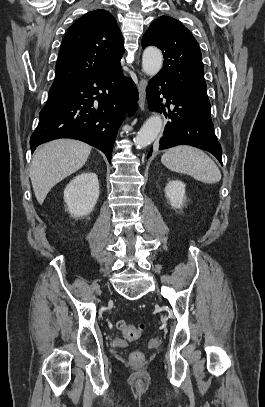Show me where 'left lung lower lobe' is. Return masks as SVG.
I'll use <instances>...</instances> for the list:
<instances>
[{
    "mask_svg": "<svg viewBox=\"0 0 265 407\" xmlns=\"http://www.w3.org/2000/svg\"><path fill=\"white\" fill-rule=\"evenodd\" d=\"M160 95L166 98L167 108L174 106L169 111L167 125L160 144L156 145L159 150L176 145H191L211 152L222 164V148L213 130L210 109H207L194 100L184 95L172 83L159 73L150 80L146 88V97L150 110L164 112ZM150 150L147 158L152 154Z\"/></svg>",
    "mask_w": 265,
    "mask_h": 407,
    "instance_id": "0a47b994",
    "label": "left lung lower lobe"
}]
</instances>
